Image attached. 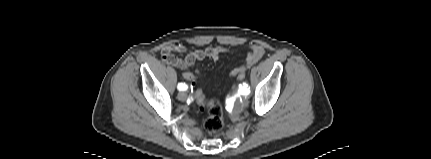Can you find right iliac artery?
<instances>
[{"mask_svg":"<svg viewBox=\"0 0 431 159\" xmlns=\"http://www.w3.org/2000/svg\"><path fill=\"white\" fill-rule=\"evenodd\" d=\"M177 88L180 91H185V90H187L188 86L185 83H179Z\"/></svg>","mask_w":431,"mask_h":159,"instance_id":"1","label":"right iliac artery"}]
</instances>
